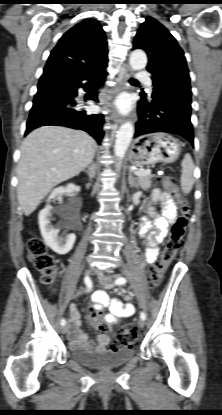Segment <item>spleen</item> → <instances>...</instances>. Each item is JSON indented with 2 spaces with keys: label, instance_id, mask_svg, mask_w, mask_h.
I'll return each instance as SVG.
<instances>
[{
  "label": "spleen",
  "instance_id": "obj_1",
  "mask_svg": "<svg viewBox=\"0 0 222 415\" xmlns=\"http://www.w3.org/2000/svg\"><path fill=\"white\" fill-rule=\"evenodd\" d=\"M181 178H180V184H181V190L184 194H189L192 190V187L194 185V164L192 161V158L189 154H186L184 156V159L181 163Z\"/></svg>",
  "mask_w": 222,
  "mask_h": 415
}]
</instances>
